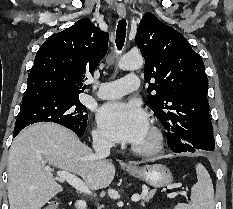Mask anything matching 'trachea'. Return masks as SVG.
Returning <instances> with one entry per match:
<instances>
[{"label":"trachea","mask_w":233,"mask_h":209,"mask_svg":"<svg viewBox=\"0 0 233 209\" xmlns=\"http://www.w3.org/2000/svg\"><path fill=\"white\" fill-rule=\"evenodd\" d=\"M125 37H126V20L121 19L118 22L117 30H116V46L118 50L122 49L125 43Z\"/></svg>","instance_id":"1"}]
</instances>
